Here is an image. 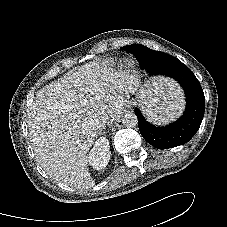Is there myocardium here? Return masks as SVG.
Wrapping results in <instances>:
<instances>
[{
    "mask_svg": "<svg viewBox=\"0 0 227 227\" xmlns=\"http://www.w3.org/2000/svg\"><path fill=\"white\" fill-rule=\"evenodd\" d=\"M124 67L128 70H131L134 67V61L131 59H126L124 61Z\"/></svg>",
    "mask_w": 227,
    "mask_h": 227,
    "instance_id": "f54148a6",
    "label": "myocardium"
}]
</instances>
